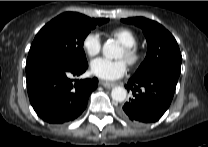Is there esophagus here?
Segmentation results:
<instances>
[{"mask_svg":"<svg viewBox=\"0 0 208 147\" xmlns=\"http://www.w3.org/2000/svg\"><path fill=\"white\" fill-rule=\"evenodd\" d=\"M100 84L106 88H113L116 86V83L108 82V81H100Z\"/></svg>","mask_w":208,"mask_h":147,"instance_id":"1","label":"esophagus"}]
</instances>
